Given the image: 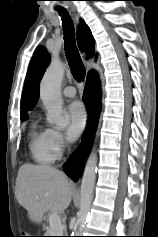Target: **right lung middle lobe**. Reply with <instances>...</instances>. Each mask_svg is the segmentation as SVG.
Instances as JSON below:
<instances>
[{
    "instance_id": "right-lung-middle-lobe-1",
    "label": "right lung middle lobe",
    "mask_w": 158,
    "mask_h": 237,
    "mask_svg": "<svg viewBox=\"0 0 158 237\" xmlns=\"http://www.w3.org/2000/svg\"><path fill=\"white\" fill-rule=\"evenodd\" d=\"M27 118H28V116H22V117H21V120H22V121H25V120H27Z\"/></svg>"
}]
</instances>
